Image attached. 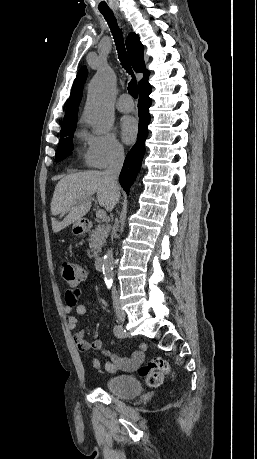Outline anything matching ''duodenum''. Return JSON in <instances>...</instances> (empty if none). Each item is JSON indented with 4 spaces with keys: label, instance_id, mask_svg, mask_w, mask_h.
<instances>
[{
    "label": "duodenum",
    "instance_id": "1",
    "mask_svg": "<svg viewBox=\"0 0 257 459\" xmlns=\"http://www.w3.org/2000/svg\"><path fill=\"white\" fill-rule=\"evenodd\" d=\"M93 225L90 221H83L80 227L77 230V233L83 234L92 229ZM95 265L98 270L102 269L103 266V258L98 256L95 258Z\"/></svg>",
    "mask_w": 257,
    "mask_h": 459
}]
</instances>
